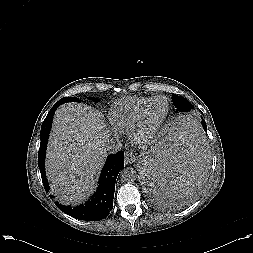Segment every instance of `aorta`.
<instances>
[{
  "instance_id": "762f6f07",
  "label": "aorta",
  "mask_w": 253,
  "mask_h": 253,
  "mask_svg": "<svg viewBox=\"0 0 253 253\" xmlns=\"http://www.w3.org/2000/svg\"><path fill=\"white\" fill-rule=\"evenodd\" d=\"M120 177L123 182H134L137 178V172L132 167H126L121 170Z\"/></svg>"
}]
</instances>
